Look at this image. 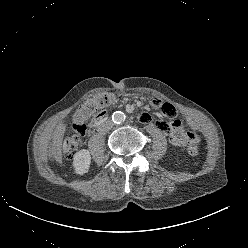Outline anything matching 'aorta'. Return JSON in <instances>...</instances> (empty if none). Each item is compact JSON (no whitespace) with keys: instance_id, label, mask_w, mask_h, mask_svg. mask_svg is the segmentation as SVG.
<instances>
[{"instance_id":"aorta-1","label":"aorta","mask_w":248,"mask_h":248,"mask_svg":"<svg viewBox=\"0 0 248 248\" xmlns=\"http://www.w3.org/2000/svg\"><path fill=\"white\" fill-rule=\"evenodd\" d=\"M125 114L123 113V112H121V111H116V112H114L113 113V115H112V120H113V122H115V123H122V122H124L125 121Z\"/></svg>"}]
</instances>
